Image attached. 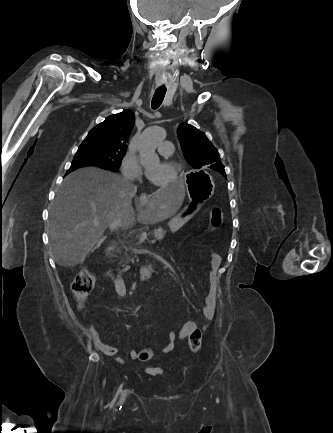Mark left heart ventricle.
<instances>
[{"mask_svg":"<svg viewBox=\"0 0 333 433\" xmlns=\"http://www.w3.org/2000/svg\"><path fill=\"white\" fill-rule=\"evenodd\" d=\"M157 152H158L159 155H161L159 153V151H157ZM154 156L158 157L157 154H154ZM149 168H155V169H157V176H156V179H155V181L157 183H164V182L168 181L170 179L171 175H172L171 169L166 164H164V162H161V161H159L157 159H155L153 161V163L150 164Z\"/></svg>","mask_w":333,"mask_h":433,"instance_id":"b2bd125f","label":"left heart ventricle"}]
</instances>
